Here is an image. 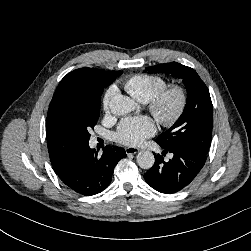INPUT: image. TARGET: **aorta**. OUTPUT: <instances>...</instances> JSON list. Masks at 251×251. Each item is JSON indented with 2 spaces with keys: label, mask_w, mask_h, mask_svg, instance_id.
<instances>
[{
  "label": "aorta",
  "mask_w": 251,
  "mask_h": 251,
  "mask_svg": "<svg viewBox=\"0 0 251 251\" xmlns=\"http://www.w3.org/2000/svg\"><path fill=\"white\" fill-rule=\"evenodd\" d=\"M109 106L114 114L124 115L133 111L136 104L128 96L117 95L110 100ZM136 159L138 166L142 169H150L155 162L154 155L150 151H140Z\"/></svg>",
  "instance_id": "aorta-1"
}]
</instances>
